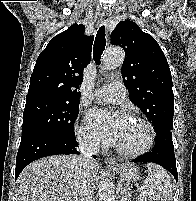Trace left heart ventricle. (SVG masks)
I'll return each mask as SVG.
<instances>
[{
	"instance_id": "1",
	"label": "left heart ventricle",
	"mask_w": 196,
	"mask_h": 201,
	"mask_svg": "<svg viewBox=\"0 0 196 201\" xmlns=\"http://www.w3.org/2000/svg\"><path fill=\"white\" fill-rule=\"evenodd\" d=\"M145 140L144 127L136 121H131L120 134L116 145L125 151H135L143 146Z\"/></svg>"
}]
</instances>
